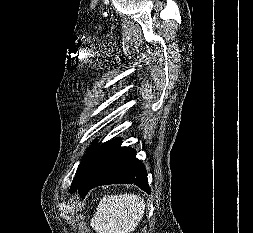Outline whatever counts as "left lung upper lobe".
I'll return each mask as SVG.
<instances>
[{
	"label": "left lung upper lobe",
	"instance_id": "5c2ea615",
	"mask_svg": "<svg viewBox=\"0 0 253 233\" xmlns=\"http://www.w3.org/2000/svg\"><path fill=\"white\" fill-rule=\"evenodd\" d=\"M106 143H103L94 149L87 152V154L81 160V163L77 169L76 176L73 180L71 187L81 182L91 171L97 157L99 156L102 148ZM92 147V146H91Z\"/></svg>",
	"mask_w": 253,
	"mask_h": 233
}]
</instances>
